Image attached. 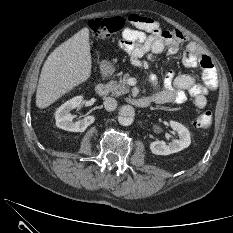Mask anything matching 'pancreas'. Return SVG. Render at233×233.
Wrapping results in <instances>:
<instances>
[{"label":"pancreas","instance_id":"obj_1","mask_svg":"<svg viewBox=\"0 0 233 233\" xmlns=\"http://www.w3.org/2000/svg\"><path fill=\"white\" fill-rule=\"evenodd\" d=\"M129 76L124 75L119 81L112 80L106 87L112 93V95L120 96L129 92V85L127 83Z\"/></svg>","mask_w":233,"mask_h":233}]
</instances>
